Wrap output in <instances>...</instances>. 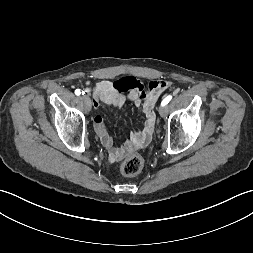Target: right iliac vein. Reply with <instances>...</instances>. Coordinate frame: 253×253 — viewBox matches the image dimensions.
<instances>
[{"label":"right iliac vein","mask_w":253,"mask_h":253,"mask_svg":"<svg viewBox=\"0 0 253 253\" xmlns=\"http://www.w3.org/2000/svg\"><path fill=\"white\" fill-rule=\"evenodd\" d=\"M80 98L84 101L85 106H86V109H87L88 111H90L91 108H92V103H91L90 98L87 97V96H84V95H82Z\"/></svg>","instance_id":"obj_1"}]
</instances>
